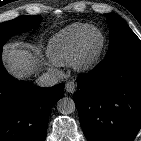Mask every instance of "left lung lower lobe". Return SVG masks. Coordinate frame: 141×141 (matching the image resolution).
Segmentation results:
<instances>
[{"label":"left lung lower lobe","mask_w":141,"mask_h":141,"mask_svg":"<svg viewBox=\"0 0 141 141\" xmlns=\"http://www.w3.org/2000/svg\"><path fill=\"white\" fill-rule=\"evenodd\" d=\"M73 98L89 141H132L141 128V53H120L78 78Z\"/></svg>","instance_id":"left-lung-lower-lobe-1"}]
</instances>
